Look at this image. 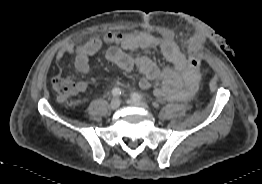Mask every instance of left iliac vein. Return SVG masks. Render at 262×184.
I'll return each mask as SVG.
<instances>
[{"label":"left iliac vein","mask_w":262,"mask_h":184,"mask_svg":"<svg viewBox=\"0 0 262 184\" xmlns=\"http://www.w3.org/2000/svg\"><path fill=\"white\" fill-rule=\"evenodd\" d=\"M127 103L132 106H136V107L143 108L145 110H149L148 105L145 102L140 101V100L129 99L127 100Z\"/></svg>","instance_id":"1"}]
</instances>
